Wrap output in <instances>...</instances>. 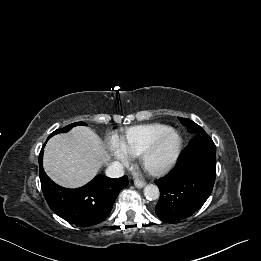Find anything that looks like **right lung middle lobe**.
Here are the masks:
<instances>
[{
  "mask_svg": "<svg viewBox=\"0 0 261 261\" xmlns=\"http://www.w3.org/2000/svg\"><path fill=\"white\" fill-rule=\"evenodd\" d=\"M77 125H85V126H86L87 124L84 123V122H76V123L67 125L66 127L62 128V129H57V130H55V131L50 135V137L53 136V135H55V134H57V133L67 132V131H69L72 127L77 126Z\"/></svg>",
  "mask_w": 261,
  "mask_h": 261,
  "instance_id": "obj_1",
  "label": "right lung middle lobe"
}]
</instances>
